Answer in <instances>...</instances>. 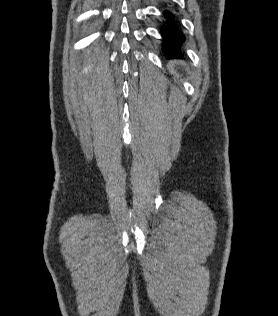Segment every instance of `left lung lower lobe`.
Masks as SVG:
<instances>
[{"mask_svg":"<svg viewBox=\"0 0 278 316\" xmlns=\"http://www.w3.org/2000/svg\"><path fill=\"white\" fill-rule=\"evenodd\" d=\"M165 26L161 30L163 36V46L166 56H174L180 53V44L184 42L185 37L176 26L174 16L168 12H164Z\"/></svg>","mask_w":278,"mask_h":316,"instance_id":"obj_1","label":"left lung lower lobe"}]
</instances>
